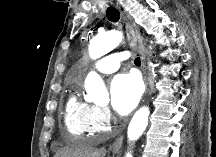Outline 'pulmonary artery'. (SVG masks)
<instances>
[{
    "label": "pulmonary artery",
    "instance_id": "obj_1",
    "mask_svg": "<svg viewBox=\"0 0 216 157\" xmlns=\"http://www.w3.org/2000/svg\"><path fill=\"white\" fill-rule=\"evenodd\" d=\"M129 56L128 52L113 53L95 62L91 68L101 73H113L119 69L121 61Z\"/></svg>",
    "mask_w": 216,
    "mask_h": 157
}]
</instances>
